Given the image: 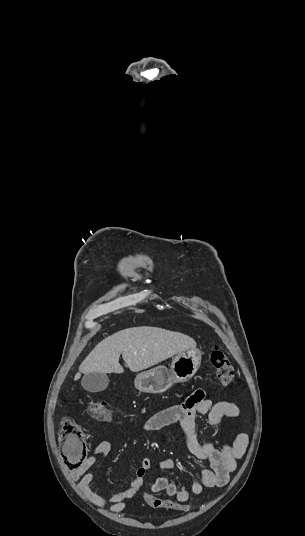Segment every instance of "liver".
I'll list each match as a JSON object with an SVG mask.
<instances>
[{
	"mask_svg": "<svg viewBox=\"0 0 305 536\" xmlns=\"http://www.w3.org/2000/svg\"><path fill=\"white\" fill-rule=\"evenodd\" d=\"M196 348L195 340L180 334L169 332L162 328H127L108 336L88 354L79 366L74 380H79L81 374H123L119 364L120 354L131 372L147 370L163 360L172 358L184 350Z\"/></svg>",
	"mask_w": 305,
	"mask_h": 536,
	"instance_id": "obj_1",
	"label": "liver"
}]
</instances>
